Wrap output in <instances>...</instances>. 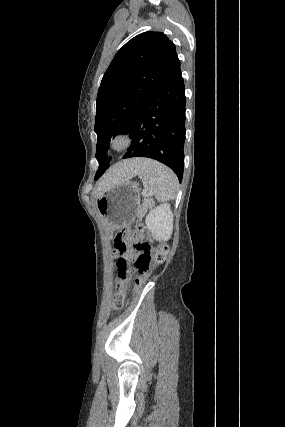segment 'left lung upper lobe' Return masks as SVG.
Listing matches in <instances>:
<instances>
[{
    "label": "left lung upper lobe",
    "mask_w": 285,
    "mask_h": 427,
    "mask_svg": "<svg viewBox=\"0 0 285 427\" xmlns=\"http://www.w3.org/2000/svg\"><path fill=\"white\" fill-rule=\"evenodd\" d=\"M175 45L161 32H145L127 42L106 70L97 95V180L109 167L112 137L128 132L143 105L178 62Z\"/></svg>",
    "instance_id": "obj_1"
}]
</instances>
